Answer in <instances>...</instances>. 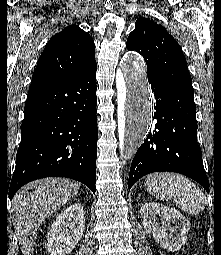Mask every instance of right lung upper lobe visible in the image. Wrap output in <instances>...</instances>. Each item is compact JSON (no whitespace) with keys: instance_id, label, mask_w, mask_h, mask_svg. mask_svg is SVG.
Masks as SVG:
<instances>
[{"instance_id":"obj_1","label":"right lung upper lobe","mask_w":221,"mask_h":255,"mask_svg":"<svg viewBox=\"0 0 221 255\" xmlns=\"http://www.w3.org/2000/svg\"><path fill=\"white\" fill-rule=\"evenodd\" d=\"M95 63L92 37L77 25L67 26L54 35L44 48L30 89L65 80Z\"/></svg>"}]
</instances>
